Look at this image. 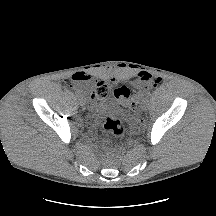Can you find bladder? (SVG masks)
Wrapping results in <instances>:
<instances>
[{
  "label": "bladder",
  "mask_w": 216,
  "mask_h": 216,
  "mask_svg": "<svg viewBox=\"0 0 216 216\" xmlns=\"http://www.w3.org/2000/svg\"><path fill=\"white\" fill-rule=\"evenodd\" d=\"M109 109L112 110V111L118 110V103L113 102L112 104H110Z\"/></svg>",
  "instance_id": "bladder-1"
}]
</instances>
